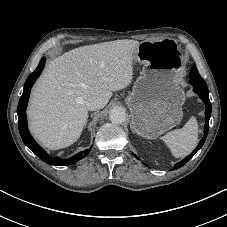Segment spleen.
<instances>
[{"label":"spleen","mask_w":227,"mask_h":227,"mask_svg":"<svg viewBox=\"0 0 227 227\" xmlns=\"http://www.w3.org/2000/svg\"><path fill=\"white\" fill-rule=\"evenodd\" d=\"M176 158L190 154L198 143V124L195 117H191L183 128L168 132L162 137Z\"/></svg>","instance_id":"3e777b00"}]
</instances>
